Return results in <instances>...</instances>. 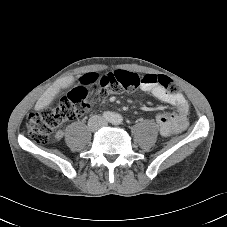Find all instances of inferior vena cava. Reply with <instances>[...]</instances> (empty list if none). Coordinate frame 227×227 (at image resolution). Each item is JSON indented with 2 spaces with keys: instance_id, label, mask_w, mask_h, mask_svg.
<instances>
[{
  "instance_id": "1",
  "label": "inferior vena cava",
  "mask_w": 227,
  "mask_h": 227,
  "mask_svg": "<svg viewBox=\"0 0 227 227\" xmlns=\"http://www.w3.org/2000/svg\"><path fill=\"white\" fill-rule=\"evenodd\" d=\"M89 124L94 128L98 129L106 125V120L101 116L95 115L90 118Z\"/></svg>"
}]
</instances>
